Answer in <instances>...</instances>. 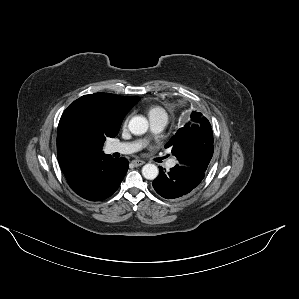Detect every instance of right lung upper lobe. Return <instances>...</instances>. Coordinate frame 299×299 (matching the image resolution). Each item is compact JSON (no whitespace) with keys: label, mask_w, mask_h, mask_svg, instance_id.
<instances>
[{"label":"right lung upper lobe","mask_w":299,"mask_h":299,"mask_svg":"<svg viewBox=\"0 0 299 299\" xmlns=\"http://www.w3.org/2000/svg\"><path fill=\"white\" fill-rule=\"evenodd\" d=\"M139 97L109 93L84 95L62 114L57 133L60 167L71 179L92 159L107 156L102 147L107 137L118 134L125 115Z\"/></svg>","instance_id":"obj_1"}]
</instances>
